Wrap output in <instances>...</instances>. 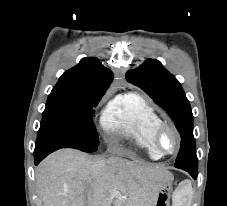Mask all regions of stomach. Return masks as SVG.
<instances>
[{"label": "stomach", "instance_id": "obj_1", "mask_svg": "<svg viewBox=\"0 0 227 206\" xmlns=\"http://www.w3.org/2000/svg\"><path fill=\"white\" fill-rule=\"evenodd\" d=\"M172 191V185L170 182L164 184L157 195V200L154 206H171L169 202L170 193Z\"/></svg>", "mask_w": 227, "mask_h": 206}]
</instances>
